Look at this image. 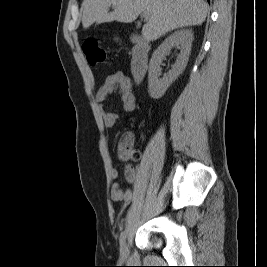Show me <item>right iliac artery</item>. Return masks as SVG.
I'll use <instances>...</instances> for the list:
<instances>
[{"instance_id":"right-iliac-artery-1","label":"right iliac artery","mask_w":267,"mask_h":267,"mask_svg":"<svg viewBox=\"0 0 267 267\" xmlns=\"http://www.w3.org/2000/svg\"><path fill=\"white\" fill-rule=\"evenodd\" d=\"M126 235H127L126 231H123V232L121 233V235H120V242H121V243H122L123 241H125Z\"/></svg>"}]
</instances>
